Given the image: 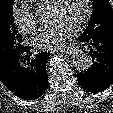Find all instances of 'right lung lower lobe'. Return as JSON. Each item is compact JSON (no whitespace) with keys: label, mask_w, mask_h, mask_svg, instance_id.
<instances>
[{"label":"right lung lower lobe","mask_w":113,"mask_h":113,"mask_svg":"<svg viewBox=\"0 0 113 113\" xmlns=\"http://www.w3.org/2000/svg\"><path fill=\"white\" fill-rule=\"evenodd\" d=\"M29 47L14 56L0 69V78L4 85L16 96L24 100H34L42 96L48 86L46 63L49 53L41 52L30 57Z\"/></svg>","instance_id":"98d812e1"}]
</instances>
